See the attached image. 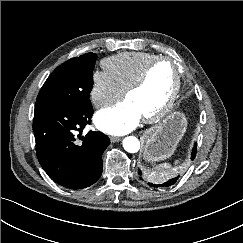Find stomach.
<instances>
[{"mask_svg":"<svg viewBox=\"0 0 243 243\" xmlns=\"http://www.w3.org/2000/svg\"><path fill=\"white\" fill-rule=\"evenodd\" d=\"M186 126L185 115L181 112H174L161 123L146 131L143 158L152 163L169 158L182 139Z\"/></svg>","mask_w":243,"mask_h":243,"instance_id":"0dacf381","label":"stomach"}]
</instances>
